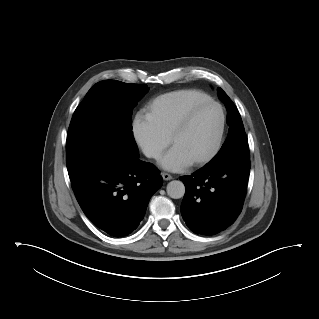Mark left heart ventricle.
<instances>
[{
  "instance_id": "1",
  "label": "left heart ventricle",
  "mask_w": 319,
  "mask_h": 319,
  "mask_svg": "<svg viewBox=\"0 0 319 319\" xmlns=\"http://www.w3.org/2000/svg\"><path fill=\"white\" fill-rule=\"evenodd\" d=\"M219 127V109L206 106L197 113L189 129L173 142L172 148L191 162L201 159L214 149Z\"/></svg>"
}]
</instances>
